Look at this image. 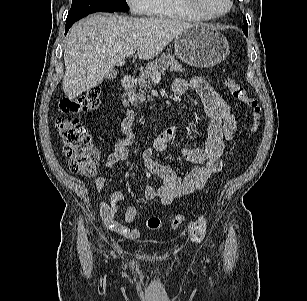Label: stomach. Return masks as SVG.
I'll use <instances>...</instances> for the list:
<instances>
[{
  "label": "stomach",
  "instance_id": "0dacf381",
  "mask_svg": "<svg viewBox=\"0 0 307 301\" xmlns=\"http://www.w3.org/2000/svg\"><path fill=\"white\" fill-rule=\"evenodd\" d=\"M175 55L194 67H212L221 63L229 52L227 39L209 25H195L175 38Z\"/></svg>",
  "mask_w": 307,
  "mask_h": 301
}]
</instances>
